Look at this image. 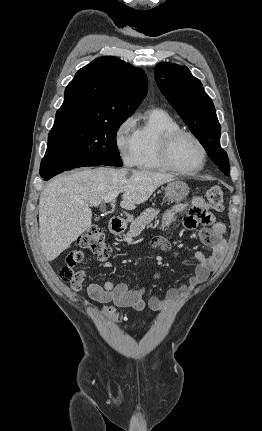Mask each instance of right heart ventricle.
<instances>
[{
  "label": "right heart ventricle",
  "instance_id": "1",
  "mask_svg": "<svg viewBox=\"0 0 262 431\" xmlns=\"http://www.w3.org/2000/svg\"><path fill=\"white\" fill-rule=\"evenodd\" d=\"M179 129L178 122L166 111L150 109L135 123L136 165L141 169L168 170L160 158L162 136Z\"/></svg>",
  "mask_w": 262,
  "mask_h": 431
}]
</instances>
